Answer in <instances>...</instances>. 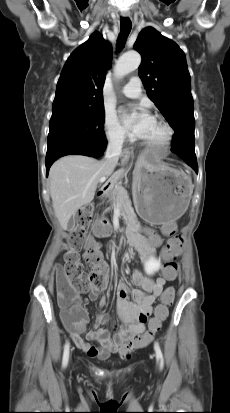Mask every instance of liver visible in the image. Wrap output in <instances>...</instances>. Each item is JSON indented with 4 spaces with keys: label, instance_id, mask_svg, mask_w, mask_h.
I'll return each instance as SVG.
<instances>
[{
    "label": "liver",
    "instance_id": "1",
    "mask_svg": "<svg viewBox=\"0 0 230 413\" xmlns=\"http://www.w3.org/2000/svg\"><path fill=\"white\" fill-rule=\"evenodd\" d=\"M115 166L106 159L97 161L84 155H70L50 168V195L55 215L66 230L70 218L95 195L101 177H109Z\"/></svg>",
    "mask_w": 230,
    "mask_h": 413
}]
</instances>
